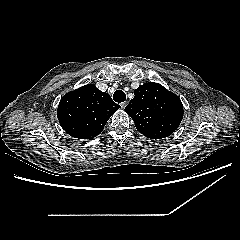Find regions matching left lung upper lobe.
<instances>
[{
	"mask_svg": "<svg viewBox=\"0 0 240 240\" xmlns=\"http://www.w3.org/2000/svg\"><path fill=\"white\" fill-rule=\"evenodd\" d=\"M134 95L125 111L144 136L162 139L177 129L183 118V105L176 94L149 82L140 85Z\"/></svg>",
	"mask_w": 240,
	"mask_h": 240,
	"instance_id": "obj_1",
	"label": "left lung upper lobe"
}]
</instances>
